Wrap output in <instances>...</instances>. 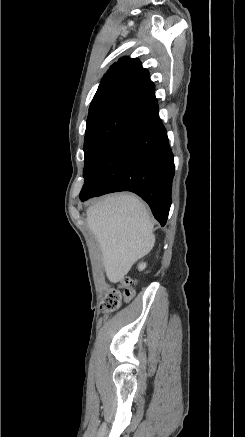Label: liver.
Here are the masks:
<instances>
[{
  "instance_id": "6515ba94",
  "label": "liver",
  "mask_w": 245,
  "mask_h": 437,
  "mask_svg": "<svg viewBox=\"0 0 245 437\" xmlns=\"http://www.w3.org/2000/svg\"><path fill=\"white\" fill-rule=\"evenodd\" d=\"M89 229L97 238L107 278L120 281L155 244L146 206L134 195L108 196L86 210Z\"/></svg>"
}]
</instances>
